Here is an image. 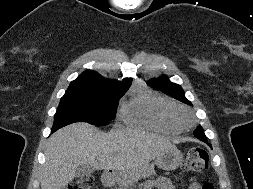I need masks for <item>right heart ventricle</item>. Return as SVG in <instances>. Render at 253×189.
<instances>
[{"label":"right heart ventricle","instance_id":"1","mask_svg":"<svg viewBox=\"0 0 253 189\" xmlns=\"http://www.w3.org/2000/svg\"><path fill=\"white\" fill-rule=\"evenodd\" d=\"M176 107L168 99L135 91L122 105L121 116L124 123L131 128L174 135L180 133L171 118V111Z\"/></svg>","mask_w":253,"mask_h":189}]
</instances>
